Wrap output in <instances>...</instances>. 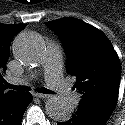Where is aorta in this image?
Returning <instances> with one entry per match:
<instances>
[{"instance_id": "obj_1", "label": "aorta", "mask_w": 125, "mask_h": 125, "mask_svg": "<svg viewBox=\"0 0 125 125\" xmlns=\"http://www.w3.org/2000/svg\"><path fill=\"white\" fill-rule=\"evenodd\" d=\"M43 50L42 40L33 33H22L17 36L13 43L14 55L24 64L38 61ZM47 115L59 122H65L72 116V107L63 97H51L45 105Z\"/></svg>"}]
</instances>
